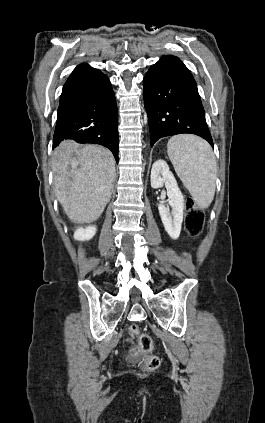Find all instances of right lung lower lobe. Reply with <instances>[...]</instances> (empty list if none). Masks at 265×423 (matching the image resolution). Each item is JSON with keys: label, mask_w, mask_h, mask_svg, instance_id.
<instances>
[{"label": "right lung lower lobe", "mask_w": 265, "mask_h": 423, "mask_svg": "<svg viewBox=\"0 0 265 423\" xmlns=\"http://www.w3.org/2000/svg\"><path fill=\"white\" fill-rule=\"evenodd\" d=\"M95 143L111 150L118 163V113L109 79L82 64L64 84L60 97L53 148L63 140Z\"/></svg>", "instance_id": "right-lung-lower-lobe-1"}]
</instances>
